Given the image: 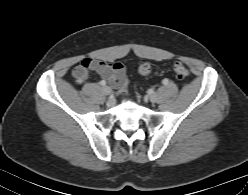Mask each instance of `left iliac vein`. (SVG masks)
Listing matches in <instances>:
<instances>
[{"instance_id": "4c4485c4", "label": "left iliac vein", "mask_w": 248, "mask_h": 195, "mask_svg": "<svg viewBox=\"0 0 248 195\" xmlns=\"http://www.w3.org/2000/svg\"><path fill=\"white\" fill-rule=\"evenodd\" d=\"M148 98L152 103H155L158 100V95L157 93L152 92L149 94Z\"/></svg>"}]
</instances>
